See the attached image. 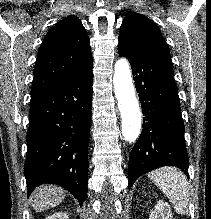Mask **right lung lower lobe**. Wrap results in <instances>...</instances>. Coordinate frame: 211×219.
<instances>
[{
	"label": "right lung lower lobe",
	"instance_id": "obj_1",
	"mask_svg": "<svg viewBox=\"0 0 211 219\" xmlns=\"http://www.w3.org/2000/svg\"><path fill=\"white\" fill-rule=\"evenodd\" d=\"M92 64L53 88L31 96L27 157L28 195L40 184L59 185L82 205L87 194Z\"/></svg>",
	"mask_w": 211,
	"mask_h": 219
}]
</instances>
